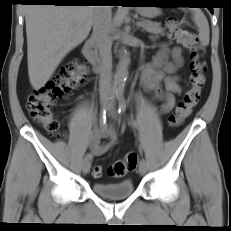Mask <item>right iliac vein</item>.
<instances>
[{
	"label": "right iliac vein",
	"instance_id": "obj_1",
	"mask_svg": "<svg viewBox=\"0 0 231 231\" xmlns=\"http://www.w3.org/2000/svg\"><path fill=\"white\" fill-rule=\"evenodd\" d=\"M108 100V96L107 95H102L101 96V105L102 108L105 109L106 108V103ZM91 168V160L90 159H85L82 163V171L84 174H87L90 171Z\"/></svg>",
	"mask_w": 231,
	"mask_h": 231
}]
</instances>
